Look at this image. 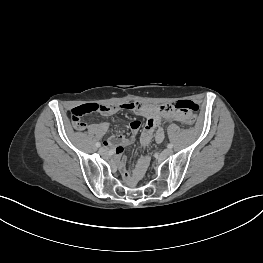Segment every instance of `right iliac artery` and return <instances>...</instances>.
Segmentation results:
<instances>
[{
    "label": "right iliac artery",
    "mask_w": 263,
    "mask_h": 263,
    "mask_svg": "<svg viewBox=\"0 0 263 263\" xmlns=\"http://www.w3.org/2000/svg\"><path fill=\"white\" fill-rule=\"evenodd\" d=\"M96 146H97V147H100V146H101L100 142H97V143H96Z\"/></svg>",
    "instance_id": "82829eb1"
}]
</instances>
